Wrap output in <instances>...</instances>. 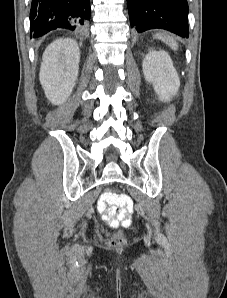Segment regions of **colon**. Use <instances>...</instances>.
<instances>
[{
	"label": "colon",
	"mask_w": 227,
	"mask_h": 298,
	"mask_svg": "<svg viewBox=\"0 0 227 298\" xmlns=\"http://www.w3.org/2000/svg\"><path fill=\"white\" fill-rule=\"evenodd\" d=\"M101 207L102 213L106 215L107 220L112 224H116L114 216H118L119 211H123V217H127V214L132 210V201L125 195H121L115 192L104 193L98 203ZM125 243L124 235L119 232H113L107 237V244L112 247H119Z\"/></svg>",
	"instance_id": "colon-1"
}]
</instances>
